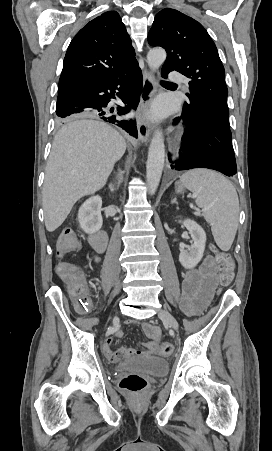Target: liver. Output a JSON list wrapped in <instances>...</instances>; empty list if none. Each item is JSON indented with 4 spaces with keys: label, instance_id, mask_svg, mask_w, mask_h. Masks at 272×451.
<instances>
[{
    "label": "liver",
    "instance_id": "obj_1",
    "mask_svg": "<svg viewBox=\"0 0 272 451\" xmlns=\"http://www.w3.org/2000/svg\"><path fill=\"white\" fill-rule=\"evenodd\" d=\"M126 150L123 136L105 122L75 118L54 136L45 170V226L54 231L74 204L105 186Z\"/></svg>",
    "mask_w": 272,
    "mask_h": 451
}]
</instances>
